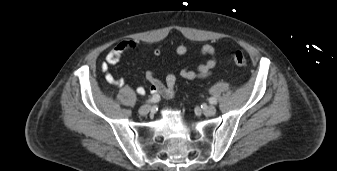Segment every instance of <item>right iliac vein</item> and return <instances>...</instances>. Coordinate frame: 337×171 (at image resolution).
<instances>
[{"label": "right iliac vein", "mask_w": 337, "mask_h": 171, "mask_svg": "<svg viewBox=\"0 0 337 171\" xmlns=\"http://www.w3.org/2000/svg\"><path fill=\"white\" fill-rule=\"evenodd\" d=\"M151 110V107L149 105H143L139 109V114L142 116L147 115Z\"/></svg>", "instance_id": "1"}]
</instances>
